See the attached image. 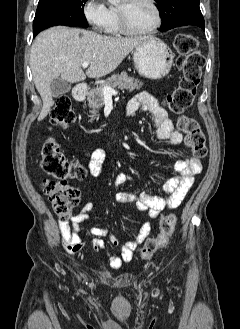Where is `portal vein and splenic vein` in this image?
I'll use <instances>...</instances> for the list:
<instances>
[{
  "instance_id": "obj_1",
  "label": "portal vein and splenic vein",
  "mask_w": 240,
  "mask_h": 329,
  "mask_svg": "<svg viewBox=\"0 0 240 329\" xmlns=\"http://www.w3.org/2000/svg\"><path fill=\"white\" fill-rule=\"evenodd\" d=\"M90 62L88 61H85L82 63V67L83 68H87L89 66ZM102 91H103V94L105 96H112V95H116L117 94V91H115L113 88L109 87V86H104L102 88Z\"/></svg>"
}]
</instances>
